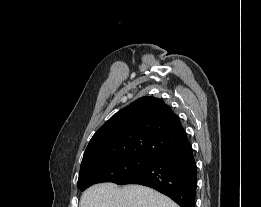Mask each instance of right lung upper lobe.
Listing matches in <instances>:
<instances>
[{"label": "right lung upper lobe", "mask_w": 261, "mask_h": 207, "mask_svg": "<svg viewBox=\"0 0 261 207\" xmlns=\"http://www.w3.org/2000/svg\"><path fill=\"white\" fill-rule=\"evenodd\" d=\"M189 144L179 117L168 105L155 97H141L96 131L81 167L133 155L158 159Z\"/></svg>", "instance_id": "right-lung-upper-lobe-1"}]
</instances>
